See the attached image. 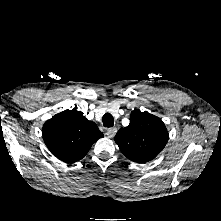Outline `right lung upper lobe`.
Here are the masks:
<instances>
[{"label":"right lung upper lobe","instance_id":"cb5924a9","mask_svg":"<svg viewBox=\"0 0 221 221\" xmlns=\"http://www.w3.org/2000/svg\"><path fill=\"white\" fill-rule=\"evenodd\" d=\"M42 134L51 153L66 163L81 160L92 144L103 137L97 125L75 109L65 110L45 122Z\"/></svg>","mask_w":221,"mask_h":221}]
</instances>
